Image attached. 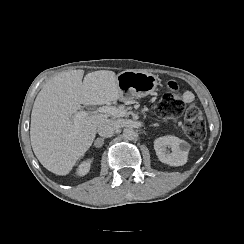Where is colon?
Returning a JSON list of instances; mask_svg holds the SVG:
<instances>
[{
	"mask_svg": "<svg viewBox=\"0 0 244 244\" xmlns=\"http://www.w3.org/2000/svg\"><path fill=\"white\" fill-rule=\"evenodd\" d=\"M156 110L161 120L173 118L172 122L175 125L180 124V117H184L185 132L191 141L200 143L205 139L206 123L201 109L197 105L187 106L181 91L174 82L168 83L166 90L160 94Z\"/></svg>",
	"mask_w": 244,
	"mask_h": 244,
	"instance_id": "1",
	"label": "colon"
}]
</instances>
